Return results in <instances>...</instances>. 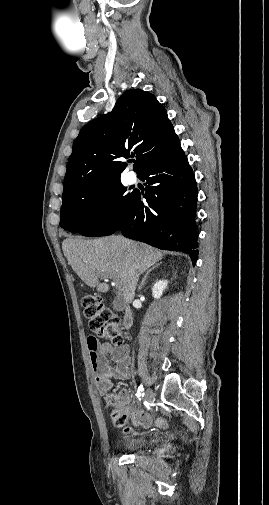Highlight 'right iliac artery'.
<instances>
[{"label":"right iliac artery","instance_id":"82829eb1","mask_svg":"<svg viewBox=\"0 0 269 505\" xmlns=\"http://www.w3.org/2000/svg\"><path fill=\"white\" fill-rule=\"evenodd\" d=\"M136 396L138 400H141V397L144 396V388L142 385L139 386Z\"/></svg>","mask_w":269,"mask_h":505}]
</instances>
